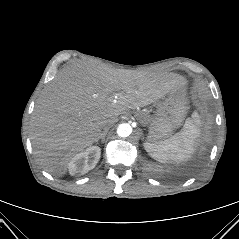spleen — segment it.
Masks as SVG:
<instances>
[{"mask_svg": "<svg viewBox=\"0 0 239 239\" xmlns=\"http://www.w3.org/2000/svg\"><path fill=\"white\" fill-rule=\"evenodd\" d=\"M200 117L197 111L187 118L182 130L161 142H145L148 154L161 163H179L187 160L194 151V143L200 135Z\"/></svg>", "mask_w": 239, "mask_h": 239, "instance_id": "spleen-1", "label": "spleen"}]
</instances>
